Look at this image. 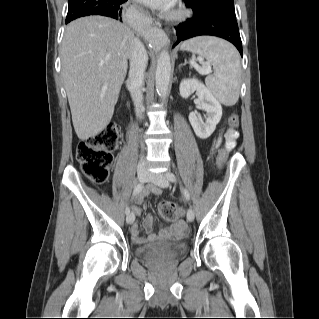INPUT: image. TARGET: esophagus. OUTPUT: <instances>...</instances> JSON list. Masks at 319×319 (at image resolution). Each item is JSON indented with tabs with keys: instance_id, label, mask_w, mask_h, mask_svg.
Instances as JSON below:
<instances>
[{
	"instance_id": "esophagus-1",
	"label": "esophagus",
	"mask_w": 319,
	"mask_h": 319,
	"mask_svg": "<svg viewBox=\"0 0 319 319\" xmlns=\"http://www.w3.org/2000/svg\"><path fill=\"white\" fill-rule=\"evenodd\" d=\"M151 32L152 38H150L149 42L153 46H158L162 42H166L168 40L165 31L159 25H154L151 29Z\"/></svg>"
}]
</instances>
